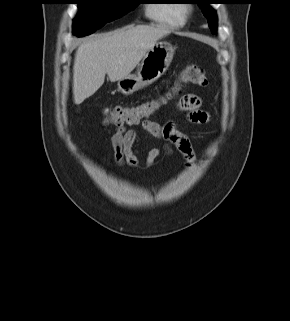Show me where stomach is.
<instances>
[{
    "label": "stomach",
    "mask_w": 290,
    "mask_h": 321,
    "mask_svg": "<svg viewBox=\"0 0 290 321\" xmlns=\"http://www.w3.org/2000/svg\"><path fill=\"white\" fill-rule=\"evenodd\" d=\"M174 51L170 43L156 42L143 57L137 72L118 81V89L129 95L158 80L167 71Z\"/></svg>",
    "instance_id": "0dacf381"
}]
</instances>
